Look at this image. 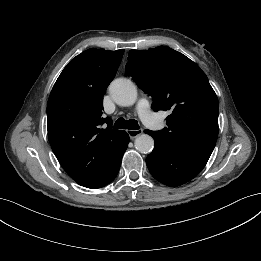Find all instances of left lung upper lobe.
Instances as JSON below:
<instances>
[{
    "mask_svg": "<svg viewBox=\"0 0 261 261\" xmlns=\"http://www.w3.org/2000/svg\"><path fill=\"white\" fill-rule=\"evenodd\" d=\"M127 73L153 98L154 111H170L167 127L150 133L170 146L212 153L218 137V99L192 60L166 46L131 50Z\"/></svg>",
    "mask_w": 261,
    "mask_h": 261,
    "instance_id": "obj_1",
    "label": "left lung upper lobe"
}]
</instances>
